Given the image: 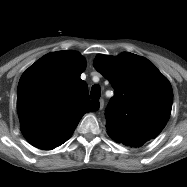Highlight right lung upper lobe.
I'll list each match as a JSON object with an SVG mask.
<instances>
[{
    "instance_id": "cb5924a9",
    "label": "right lung upper lobe",
    "mask_w": 187,
    "mask_h": 187,
    "mask_svg": "<svg viewBox=\"0 0 187 187\" xmlns=\"http://www.w3.org/2000/svg\"><path fill=\"white\" fill-rule=\"evenodd\" d=\"M86 69L83 56L75 51L49 53L21 76L17 111L27 141L44 150L54 149L70 138L85 113L99 108L90 100L80 75Z\"/></svg>"
}]
</instances>
